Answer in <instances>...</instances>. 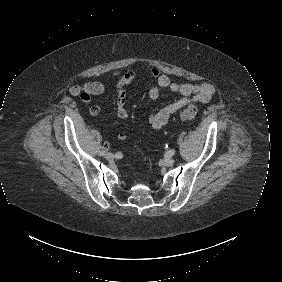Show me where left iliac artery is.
<instances>
[{
    "instance_id": "44dca946",
    "label": "left iliac artery",
    "mask_w": 282,
    "mask_h": 282,
    "mask_svg": "<svg viewBox=\"0 0 282 282\" xmlns=\"http://www.w3.org/2000/svg\"><path fill=\"white\" fill-rule=\"evenodd\" d=\"M175 154V150H170L169 152H168V155L169 156H173Z\"/></svg>"
}]
</instances>
